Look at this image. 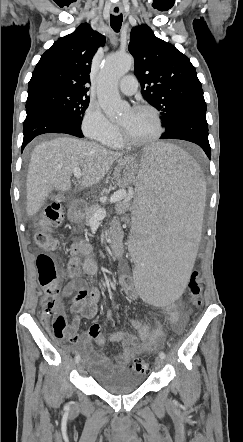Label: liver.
<instances>
[{
	"label": "liver",
	"instance_id": "obj_1",
	"mask_svg": "<svg viewBox=\"0 0 243 442\" xmlns=\"http://www.w3.org/2000/svg\"><path fill=\"white\" fill-rule=\"evenodd\" d=\"M122 156L123 153L107 150L95 142L67 136L38 143L27 174V215H35L53 189L69 190L75 167L82 168L79 184L84 189L99 183Z\"/></svg>",
	"mask_w": 243,
	"mask_h": 442
}]
</instances>
